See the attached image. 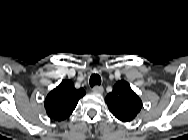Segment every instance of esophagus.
<instances>
[{"label":"esophagus","mask_w":188,"mask_h":140,"mask_svg":"<svg viewBox=\"0 0 188 140\" xmlns=\"http://www.w3.org/2000/svg\"><path fill=\"white\" fill-rule=\"evenodd\" d=\"M92 91H93L94 93L101 94V93H103L104 89H103L102 86L95 85V86L92 88Z\"/></svg>","instance_id":"34e87169"}]
</instances>
